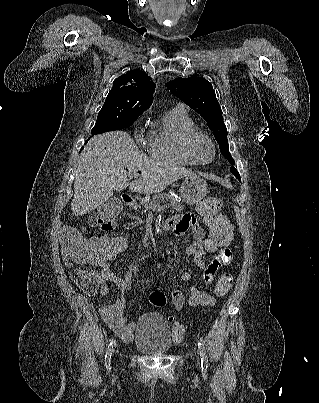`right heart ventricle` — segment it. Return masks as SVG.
I'll use <instances>...</instances> for the list:
<instances>
[{
	"label": "right heart ventricle",
	"mask_w": 319,
	"mask_h": 403,
	"mask_svg": "<svg viewBox=\"0 0 319 403\" xmlns=\"http://www.w3.org/2000/svg\"><path fill=\"white\" fill-rule=\"evenodd\" d=\"M195 129L196 124L184 106L170 108L153 126L148 145L150 154L180 165L197 164L183 147L185 135Z\"/></svg>",
	"instance_id": "e07e8e85"
}]
</instances>
